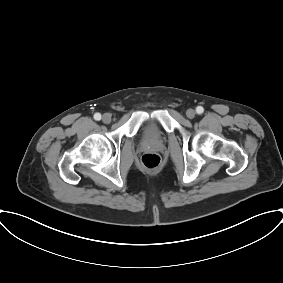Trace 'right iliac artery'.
<instances>
[{
  "instance_id": "1",
  "label": "right iliac artery",
  "mask_w": 283,
  "mask_h": 283,
  "mask_svg": "<svg viewBox=\"0 0 283 283\" xmlns=\"http://www.w3.org/2000/svg\"><path fill=\"white\" fill-rule=\"evenodd\" d=\"M94 119L95 120H100L101 119V114L100 113H95L94 114Z\"/></svg>"
}]
</instances>
